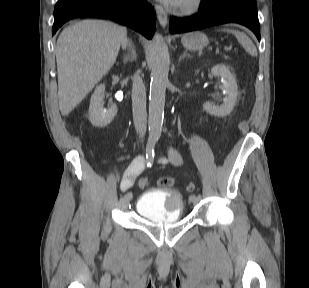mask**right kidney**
<instances>
[{
    "label": "right kidney",
    "mask_w": 309,
    "mask_h": 288,
    "mask_svg": "<svg viewBox=\"0 0 309 288\" xmlns=\"http://www.w3.org/2000/svg\"><path fill=\"white\" fill-rule=\"evenodd\" d=\"M104 92L105 85L101 84L96 87L94 93L91 96L89 106V120L93 126L105 127L111 123L117 114L116 104H111L108 109L104 106Z\"/></svg>",
    "instance_id": "right-kidney-1"
}]
</instances>
